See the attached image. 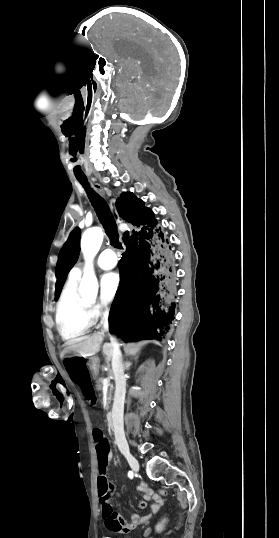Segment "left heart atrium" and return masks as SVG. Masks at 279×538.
I'll return each instance as SVG.
<instances>
[{
  "label": "left heart atrium",
  "instance_id": "left-heart-atrium-1",
  "mask_svg": "<svg viewBox=\"0 0 279 538\" xmlns=\"http://www.w3.org/2000/svg\"><path fill=\"white\" fill-rule=\"evenodd\" d=\"M120 284V276L116 272H110L103 275L101 279L102 295L104 299H112Z\"/></svg>",
  "mask_w": 279,
  "mask_h": 538
}]
</instances>
